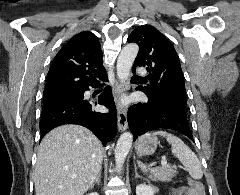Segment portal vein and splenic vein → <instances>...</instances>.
Returning <instances> with one entry per match:
<instances>
[{"mask_svg":"<svg viewBox=\"0 0 240 195\" xmlns=\"http://www.w3.org/2000/svg\"><path fill=\"white\" fill-rule=\"evenodd\" d=\"M167 163V159H161V165H166ZM152 171H154V169H152Z\"/></svg>","mask_w":240,"mask_h":195,"instance_id":"18ae733b","label":"portal vein and splenic vein"}]
</instances>
